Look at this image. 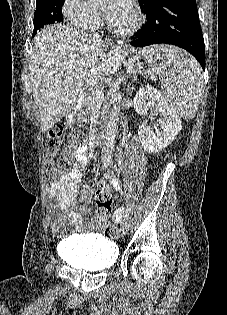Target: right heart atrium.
Segmentation results:
<instances>
[{
  "instance_id": "d8ad5b80",
  "label": "right heart atrium",
  "mask_w": 227,
  "mask_h": 315,
  "mask_svg": "<svg viewBox=\"0 0 227 315\" xmlns=\"http://www.w3.org/2000/svg\"><path fill=\"white\" fill-rule=\"evenodd\" d=\"M62 14L69 24L81 29H93L101 22L100 12L87 0H64Z\"/></svg>"
}]
</instances>
